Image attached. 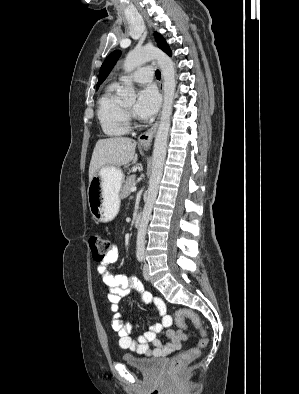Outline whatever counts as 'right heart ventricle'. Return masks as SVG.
I'll return each mask as SVG.
<instances>
[{
	"label": "right heart ventricle",
	"instance_id": "1",
	"mask_svg": "<svg viewBox=\"0 0 299 394\" xmlns=\"http://www.w3.org/2000/svg\"><path fill=\"white\" fill-rule=\"evenodd\" d=\"M118 83L110 84L98 101L97 116L103 132L109 137H119L129 132L128 119L117 91Z\"/></svg>",
	"mask_w": 299,
	"mask_h": 394
}]
</instances>
